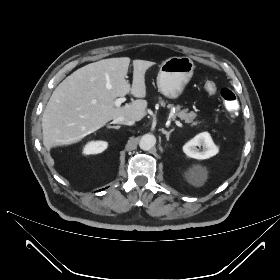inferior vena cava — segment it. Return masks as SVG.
<instances>
[{"label": "inferior vena cava", "mask_w": 280, "mask_h": 280, "mask_svg": "<svg viewBox=\"0 0 280 280\" xmlns=\"http://www.w3.org/2000/svg\"><path fill=\"white\" fill-rule=\"evenodd\" d=\"M113 123L132 126V125H134L135 120L120 116V117L113 119Z\"/></svg>", "instance_id": "obj_1"}]
</instances>
